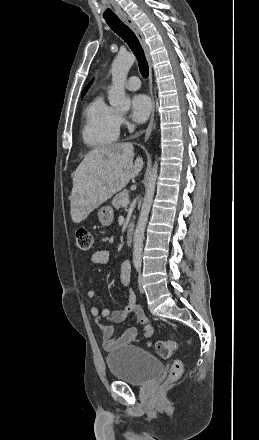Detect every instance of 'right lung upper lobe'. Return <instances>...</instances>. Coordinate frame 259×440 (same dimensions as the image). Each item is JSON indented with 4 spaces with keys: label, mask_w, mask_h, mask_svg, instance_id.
<instances>
[{
    "label": "right lung upper lobe",
    "mask_w": 259,
    "mask_h": 440,
    "mask_svg": "<svg viewBox=\"0 0 259 440\" xmlns=\"http://www.w3.org/2000/svg\"><path fill=\"white\" fill-rule=\"evenodd\" d=\"M92 81L86 86V88L84 89L82 96L85 94V92L87 91L88 87L91 85Z\"/></svg>",
    "instance_id": "obj_1"
}]
</instances>
